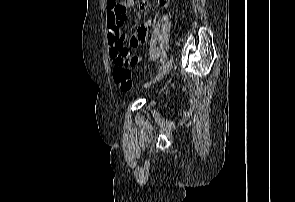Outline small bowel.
Here are the masks:
<instances>
[{
    "label": "small bowel",
    "mask_w": 295,
    "mask_h": 202,
    "mask_svg": "<svg viewBox=\"0 0 295 202\" xmlns=\"http://www.w3.org/2000/svg\"><path fill=\"white\" fill-rule=\"evenodd\" d=\"M158 3L161 7H167L169 0H158ZM132 4L133 0H123L121 3H118L117 0H106L109 54L113 62L121 56L124 59L132 60L130 65L138 63L140 58L134 54V50L144 46L148 40L150 24L144 23L137 27L130 44H125L123 24L127 18L126 9ZM148 7V0H141L139 10L146 11Z\"/></svg>",
    "instance_id": "obj_1"
}]
</instances>
